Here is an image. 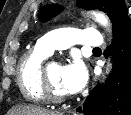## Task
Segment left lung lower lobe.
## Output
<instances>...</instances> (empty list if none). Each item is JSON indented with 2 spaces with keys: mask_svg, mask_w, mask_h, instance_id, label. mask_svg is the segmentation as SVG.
<instances>
[{
  "mask_svg": "<svg viewBox=\"0 0 131 115\" xmlns=\"http://www.w3.org/2000/svg\"><path fill=\"white\" fill-rule=\"evenodd\" d=\"M114 67L106 84L97 85L76 111L84 115H131V20L124 19L114 31Z\"/></svg>",
  "mask_w": 131,
  "mask_h": 115,
  "instance_id": "1",
  "label": "left lung lower lobe"
}]
</instances>
